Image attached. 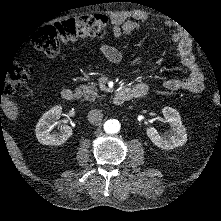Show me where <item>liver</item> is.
I'll use <instances>...</instances> for the list:
<instances>
[{"instance_id":"liver-1","label":"liver","mask_w":221,"mask_h":221,"mask_svg":"<svg viewBox=\"0 0 221 221\" xmlns=\"http://www.w3.org/2000/svg\"><path fill=\"white\" fill-rule=\"evenodd\" d=\"M2 109L9 118L15 116L16 110L9 101H4L2 103Z\"/></svg>"}]
</instances>
